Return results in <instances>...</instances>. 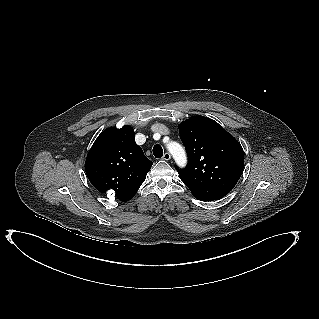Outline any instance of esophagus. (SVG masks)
Listing matches in <instances>:
<instances>
[{
	"label": "esophagus",
	"mask_w": 319,
	"mask_h": 319,
	"mask_svg": "<svg viewBox=\"0 0 319 319\" xmlns=\"http://www.w3.org/2000/svg\"><path fill=\"white\" fill-rule=\"evenodd\" d=\"M162 158H163L164 160L168 161V160L171 159V155H170V153L165 152Z\"/></svg>",
	"instance_id": "obj_1"
}]
</instances>
